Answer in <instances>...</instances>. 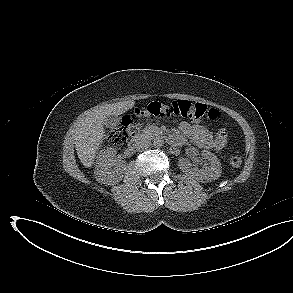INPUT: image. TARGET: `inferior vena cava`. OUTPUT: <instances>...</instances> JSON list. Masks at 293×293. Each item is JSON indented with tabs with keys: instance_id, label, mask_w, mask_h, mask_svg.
Wrapping results in <instances>:
<instances>
[{
	"instance_id": "1",
	"label": "inferior vena cava",
	"mask_w": 293,
	"mask_h": 293,
	"mask_svg": "<svg viewBox=\"0 0 293 293\" xmlns=\"http://www.w3.org/2000/svg\"><path fill=\"white\" fill-rule=\"evenodd\" d=\"M151 145V141L148 139H143L140 138L139 140L136 141L134 145V149L137 151H142L147 149Z\"/></svg>"
}]
</instances>
